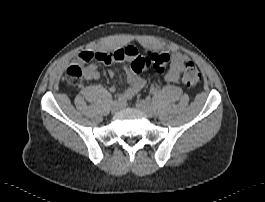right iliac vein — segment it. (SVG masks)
<instances>
[{"label": "right iliac vein", "mask_w": 265, "mask_h": 202, "mask_svg": "<svg viewBox=\"0 0 265 202\" xmlns=\"http://www.w3.org/2000/svg\"><path fill=\"white\" fill-rule=\"evenodd\" d=\"M119 109H120V104L118 102H113L111 106V113L115 114L119 111Z\"/></svg>", "instance_id": "obj_1"}]
</instances>
